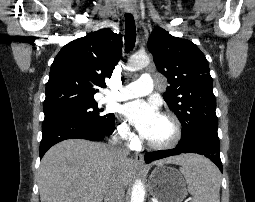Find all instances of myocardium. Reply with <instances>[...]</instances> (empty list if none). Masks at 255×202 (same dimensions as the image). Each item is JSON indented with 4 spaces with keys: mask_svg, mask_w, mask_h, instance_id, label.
Returning a JSON list of instances; mask_svg holds the SVG:
<instances>
[{
    "mask_svg": "<svg viewBox=\"0 0 255 202\" xmlns=\"http://www.w3.org/2000/svg\"><path fill=\"white\" fill-rule=\"evenodd\" d=\"M160 116L164 117L171 123L172 129H173L171 138L163 142H154L145 138V143L148 147L155 150H166V149L173 148L180 142L182 138L181 122L177 118V116L171 112H163L160 114Z\"/></svg>",
    "mask_w": 255,
    "mask_h": 202,
    "instance_id": "f54148a6",
    "label": "myocardium"
}]
</instances>
